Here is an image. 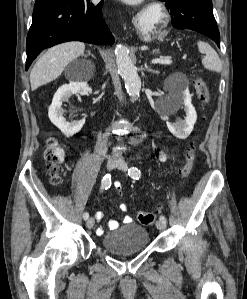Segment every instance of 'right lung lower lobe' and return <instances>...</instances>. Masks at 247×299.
<instances>
[{
	"instance_id": "1",
	"label": "right lung lower lobe",
	"mask_w": 247,
	"mask_h": 299,
	"mask_svg": "<svg viewBox=\"0 0 247 299\" xmlns=\"http://www.w3.org/2000/svg\"><path fill=\"white\" fill-rule=\"evenodd\" d=\"M103 1L49 0L34 7L27 35L26 70L45 48L67 41L109 45L114 37L102 16Z\"/></svg>"
}]
</instances>
